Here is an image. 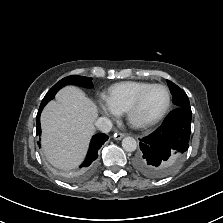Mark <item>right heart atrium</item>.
Wrapping results in <instances>:
<instances>
[{"instance_id": "right-heart-atrium-1", "label": "right heart atrium", "mask_w": 223, "mask_h": 223, "mask_svg": "<svg viewBox=\"0 0 223 223\" xmlns=\"http://www.w3.org/2000/svg\"><path fill=\"white\" fill-rule=\"evenodd\" d=\"M100 107L102 112L108 116L114 117L118 115L117 110L106 99L100 102Z\"/></svg>"}]
</instances>
